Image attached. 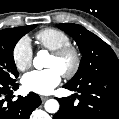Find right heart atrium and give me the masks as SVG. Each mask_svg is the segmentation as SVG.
Segmentation results:
<instances>
[{
	"label": "right heart atrium",
	"mask_w": 119,
	"mask_h": 119,
	"mask_svg": "<svg viewBox=\"0 0 119 119\" xmlns=\"http://www.w3.org/2000/svg\"><path fill=\"white\" fill-rule=\"evenodd\" d=\"M12 58L19 71H26L31 67L33 50L30 40L27 37H23L17 41L12 50Z\"/></svg>",
	"instance_id": "obj_1"
}]
</instances>
